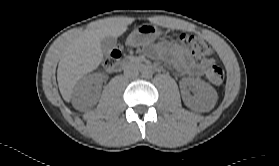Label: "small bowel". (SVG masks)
<instances>
[{"instance_id": "c3829d8e", "label": "small bowel", "mask_w": 279, "mask_h": 166, "mask_svg": "<svg viewBox=\"0 0 279 166\" xmlns=\"http://www.w3.org/2000/svg\"><path fill=\"white\" fill-rule=\"evenodd\" d=\"M154 53L159 57L166 58L179 72L187 75L199 76L207 66L214 63L212 58H204L200 62H195L184 47L174 42L157 45Z\"/></svg>"}]
</instances>
